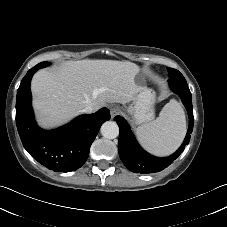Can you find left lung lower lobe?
Listing matches in <instances>:
<instances>
[{"instance_id": "left-lung-lower-lobe-1", "label": "left lung lower lobe", "mask_w": 227, "mask_h": 227, "mask_svg": "<svg viewBox=\"0 0 227 227\" xmlns=\"http://www.w3.org/2000/svg\"><path fill=\"white\" fill-rule=\"evenodd\" d=\"M169 86L174 93L180 96L189 116L187 135L181 147L174 154L164 158H157L148 154L137 143L128 123L120 116L114 118L120 129L118 140L119 156L123 164L132 172L154 173L165 169L180 155L185 145L190 141L194 122L191 92L185 79H169Z\"/></svg>"}]
</instances>
